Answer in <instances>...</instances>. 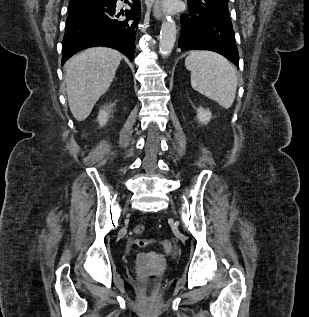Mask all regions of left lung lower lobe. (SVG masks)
Here are the masks:
<instances>
[{
    "instance_id": "obj_1",
    "label": "left lung lower lobe",
    "mask_w": 309,
    "mask_h": 317,
    "mask_svg": "<svg viewBox=\"0 0 309 317\" xmlns=\"http://www.w3.org/2000/svg\"><path fill=\"white\" fill-rule=\"evenodd\" d=\"M189 14L181 16L178 47L187 50L217 52L239 68L235 33L229 16L188 6Z\"/></svg>"
}]
</instances>
